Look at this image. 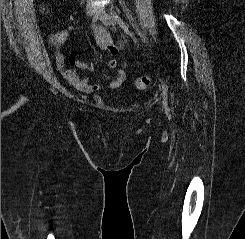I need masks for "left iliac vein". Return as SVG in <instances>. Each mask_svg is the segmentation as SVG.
<instances>
[{
	"label": "left iliac vein",
	"instance_id": "obj_1",
	"mask_svg": "<svg viewBox=\"0 0 245 239\" xmlns=\"http://www.w3.org/2000/svg\"><path fill=\"white\" fill-rule=\"evenodd\" d=\"M95 16L106 26H114L115 24L114 18L103 9H97Z\"/></svg>",
	"mask_w": 245,
	"mask_h": 239
}]
</instances>
